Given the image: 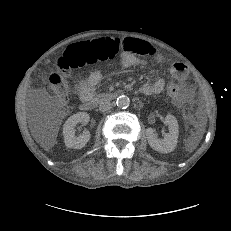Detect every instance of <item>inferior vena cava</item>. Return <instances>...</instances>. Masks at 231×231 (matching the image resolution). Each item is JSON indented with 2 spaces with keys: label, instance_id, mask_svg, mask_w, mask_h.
<instances>
[{
  "label": "inferior vena cava",
  "instance_id": "inferior-vena-cava-1",
  "mask_svg": "<svg viewBox=\"0 0 231 231\" xmlns=\"http://www.w3.org/2000/svg\"><path fill=\"white\" fill-rule=\"evenodd\" d=\"M110 108H111V103H110L109 100H107V99H101L99 101V110L101 112L108 111Z\"/></svg>",
  "mask_w": 231,
  "mask_h": 231
}]
</instances>
